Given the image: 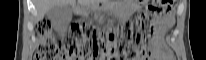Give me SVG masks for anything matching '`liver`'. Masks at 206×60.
<instances>
[{
    "label": "liver",
    "instance_id": "6515ba94",
    "mask_svg": "<svg viewBox=\"0 0 206 60\" xmlns=\"http://www.w3.org/2000/svg\"><path fill=\"white\" fill-rule=\"evenodd\" d=\"M94 0H79L80 3H91ZM75 0H35L38 18L41 19L55 5L74 4Z\"/></svg>",
    "mask_w": 206,
    "mask_h": 60
}]
</instances>
